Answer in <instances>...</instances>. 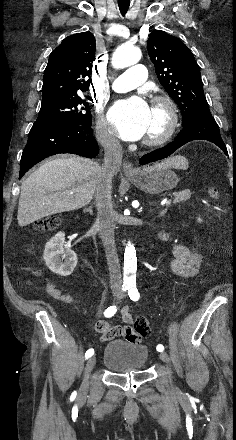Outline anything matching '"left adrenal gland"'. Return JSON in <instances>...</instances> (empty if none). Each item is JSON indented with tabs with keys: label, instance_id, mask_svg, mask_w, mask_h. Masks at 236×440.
<instances>
[{
	"label": "left adrenal gland",
	"instance_id": "obj_1",
	"mask_svg": "<svg viewBox=\"0 0 236 440\" xmlns=\"http://www.w3.org/2000/svg\"><path fill=\"white\" fill-rule=\"evenodd\" d=\"M166 212H167V208L164 209V210H162V211L159 213V216H164Z\"/></svg>",
	"mask_w": 236,
	"mask_h": 440
}]
</instances>
